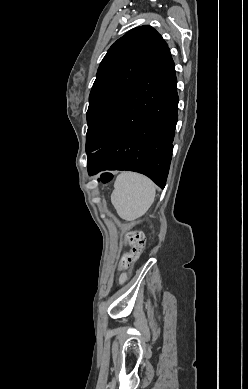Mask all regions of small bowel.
Masks as SVG:
<instances>
[{"instance_id": "small-bowel-1", "label": "small bowel", "mask_w": 248, "mask_h": 389, "mask_svg": "<svg viewBox=\"0 0 248 389\" xmlns=\"http://www.w3.org/2000/svg\"><path fill=\"white\" fill-rule=\"evenodd\" d=\"M124 279V277H121V280H123Z\"/></svg>"}]
</instances>
